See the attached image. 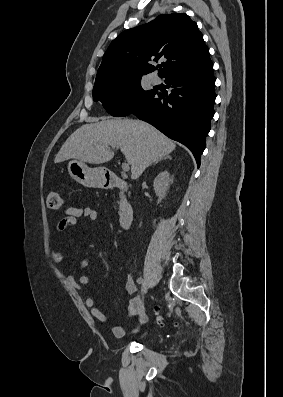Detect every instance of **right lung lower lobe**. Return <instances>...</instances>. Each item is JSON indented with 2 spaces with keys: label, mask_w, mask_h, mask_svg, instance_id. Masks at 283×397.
<instances>
[{
  "label": "right lung lower lobe",
  "mask_w": 283,
  "mask_h": 397,
  "mask_svg": "<svg viewBox=\"0 0 283 397\" xmlns=\"http://www.w3.org/2000/svg\"><path fill=\"white\" fill-rule=\"evenodd\" d=\"M212 72L210 58L174 70L165 77V82L173 88L171 93L163 96L156 92L131 113L187 146L198 166L215 113V78Z\"/></svg>",
  "instance_id": "right-lung-lower-lobe-1"
}]
</instances>
